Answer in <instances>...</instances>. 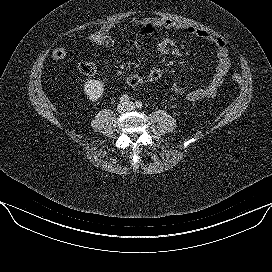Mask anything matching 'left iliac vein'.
<instances>
[{
	"instance_id": "1",
	"label": "left iliac vein",
	"mask_w": 272,
	"mask_h": 272,
	"mask_svg": "<svg viewBox=\"0 0 272 272\" xmlns=\"http://www.w3.org/2000/svg\"><path fill=\"white\" fill-rule=\"evenodd\" d=\"M127 105V110H134L135 109V104L133 102H128L126 103Z\"/></svg>"
}]
</instances>
